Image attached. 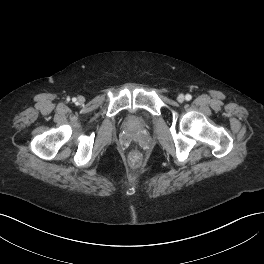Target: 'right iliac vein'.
Returning a JSON list of instances; mask_svg holds the SVG:
<instances>
[{"label": "right iliac vein", "mask_w": 264, "mask_h": 264, "mask_svg": "<svg viewBox=\"0 0 264 264\" xmlns=\"http://www.w3.org/2000/svg\"><path fill=\"white\" fill-rule=\"evenodd\" d=\"M78 103H83L85 101V98L83 96L78 97Z\"/></svg>", "instance_id": "63e3f726"}]
</instances>
